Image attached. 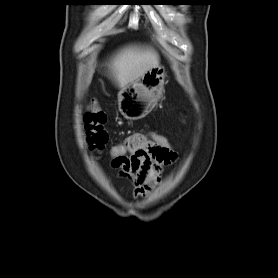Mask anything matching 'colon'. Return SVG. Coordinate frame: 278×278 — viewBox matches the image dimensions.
<instances>
[{
    "label": "colon",
    "mask_w": 278,
    "mask_h": 278,
    "mask_svg": "<svg viewBox=\"0 0 278 278\" xmlns=\"http://www.w3.org/2000/svg\"><path fill=\"white\" fill-rule=\"evenodd\" d=\"M106 114L97 106L91 103L84 114L85 129L88 135L90 148L95 151H102L108 142V134L104 129ZM163 150L176 153L172 142L165 136L151 132L148 135ZM126 154V148L123 144H118L110 149L112 159L121 158Z\"/></svg>",
    "instance_id": "colon-1"
}]
</instances>
